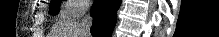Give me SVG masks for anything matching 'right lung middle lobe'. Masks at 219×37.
Returning <instances> with one entry per match:
<instances>
[{
    "label": "right lung middle lobe",
    "mask_w": 219,
    "mask_h": 37,
    "mask_svg": "<svg viewBox=\"0 0 219 37\" xmlns=\"http://www.w3.org/2000/svg\"><path fill=\"white\" fill-rule=\"evenodd\" d=\"M60 2L57 0H53L50 2L49 14L57 15L59 13Z\"/></svg>",
    "instance_id": "obj_1"
}]
</instances>
